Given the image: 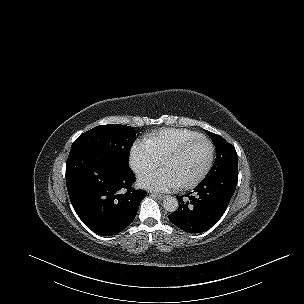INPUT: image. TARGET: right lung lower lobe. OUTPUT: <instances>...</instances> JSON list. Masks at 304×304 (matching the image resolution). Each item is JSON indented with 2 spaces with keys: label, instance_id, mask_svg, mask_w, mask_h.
I'll use <instances>...</instances> for the list:
<instances>
[{
  "label": "right lung lower lobe",
  "instance_id": "1",
  "mask_svg": "<svg viewBox=\"0 0 304 304\" xmlns=\"http://www.w3.org/2000/svg\"><path fill=\"white\" fill-rule=\"evenodd\" d=\"M111 154L90 148L70 152L66 163V184L73 208L93 232L111 236L135 218L144 190H134V173L119 169Z\"/></svg>",
  "mask_w": 304,
  "mask_h": 304
}]
</instances>
